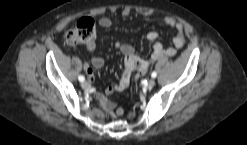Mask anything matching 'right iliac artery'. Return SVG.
<instances>
[{"instance_id": "1", "label": "right iliac artery", "mask_w": 247, "mask_h": 145, "mask_svg": "<svg viewBox=\"0 0 247 145\" xmlns=\"http://www.w3.org/2000/svg\"><path fill=\"white\" fill-rule=\"evenodd\" d=\"M78 80H79L80 82H83V81L85 80V78H84V76L80 75V76L78 77Z\"/></svg>"}]
</instances>
